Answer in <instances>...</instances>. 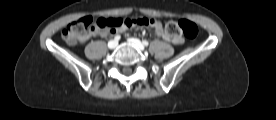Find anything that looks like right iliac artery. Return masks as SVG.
Listing matches in <instances>:
<instances>
[{
    "label": "right iliac artery",
    "instance_id": "1",
    "mask_svg": "<svg viewBox=\"0 0 276 120\" xmlns=\"http://www.w3.org/2000/svg\"><path fill=\"white\" fill-rule=\"evenodd\" d=\"M120 38H121V36H120V35H116V36L114 37V39H115L116 41H119V40H120Z\"/></svg>",
    "mask_w": 276,
    "mask_h": 120
}]
</instances>
